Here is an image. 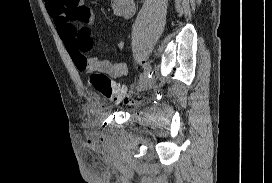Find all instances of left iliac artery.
Masks as SVG:
<instances>
[{
	"instance_id": "44dca946",
	"label": "left iliac artery",
	"mask_w": 272,
	"mask_h": 183,
	"mask_svg": "<svg viewBox=\"0 0 272 183\" xmlns=\"http://www.w3.org/2000/svg\"><path fill=\"white\" fill-rule=\"evenodd\" d=\"M143 68H144V72L138 82L139 85H142L146 79L151 78L153 75V71H152L151 66L149 64L144 63Z\"/></svg>"
}]
</instances>
